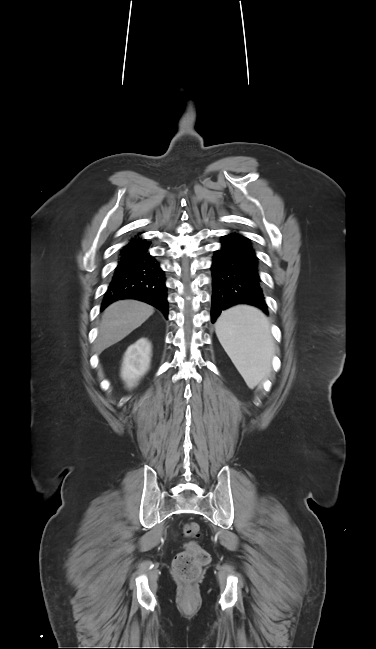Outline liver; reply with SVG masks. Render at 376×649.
Segmentation results:
<instances>
[{"label":"liver","mask_w":376,"mask_h":649,"mask_svg":"<svg viewBox=\"0 0 376 649\" xmlns=\"http://www.w3.org/2000/svg\"><path fill=\"white\" fill-rule=\"evenodd\" d=\"M154 308L136 300H121L111 304L103 313L96 340L98 353L124 339L141 326Z\"/></svg>","instance_id":"obj_1"}]
</instances>
